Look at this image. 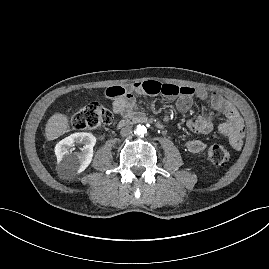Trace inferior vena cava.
<instances>
[{
    "label": "inferior vena cava",
    "mask_w": 269,
    "mask_h": 269,
    "mask_svg": "<svg viewBox=\"0 0 269 269\" xmlns=\"http://www.w3.org/2000/svg\"><path fill=\"white\" fill-rule=\"evenodd\" d=\"M120 134L124 137H129L133 134L132 128L130 126L123 127L120 131Z\"/></svg>",
    "instance_id": "602c4592"
}]
</instances>
